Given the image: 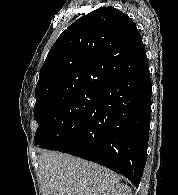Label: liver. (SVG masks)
<instances>
[{"instance_id":"obj_1","label":"liver","mask_w":178,"mask_h":195,"mask_svg":"<svg viewBox=\"0 0 178 195\" xmlns=\"http://www.w3.org/2000/svg\"><path fill=\"white\" fill-rule=\"evenodd\" d=\"M39 169L43 195H103L120 182L103 166L59 152H43Z\"/></svg>"}]
</instances>
